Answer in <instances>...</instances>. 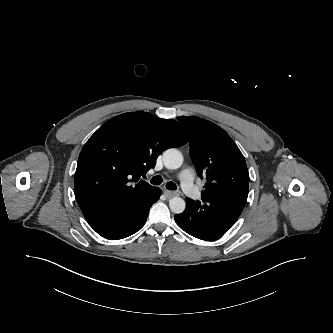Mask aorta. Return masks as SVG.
<instances>
[{
	"mask_svg": "<svg viewBox=\"0 0 333 333\" xmlns=\"http://www.w3.org/2000/svg\"><path fill=\"white\" fill-rule=\"evenodd\" d=\"M163 162L168 169H178L183 163L182 153L174 148L167 149L163 153ZM169 207L175 214L185 210L186 202L180 197H174L169 201Z\"/></svg>",
	"mask_w": 333,
	"mask_h": 333,
	"instance_id": "762f6f07",
	"label": "aorta"
}]
</instances>
